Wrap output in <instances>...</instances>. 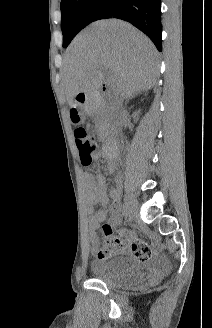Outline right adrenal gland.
<instances>
[{"mask_svg": "<svg viewBox=\"0 0 212 328\" xmlns=\"http://www.w3.org/2000/svg\"><path fill=\"white\" fill-rule=\"evenodd\" d=\"M138 93H139V92L134 93L131 97H129V99L135 97V95H137ZM129 99H128V100H129ZM128 100H127V102H128Z\"/></svg>", "mask_w": 212, "mask_h": 328, "instance_id": "1", "label": "right adrenal gland"}]
</instances>
